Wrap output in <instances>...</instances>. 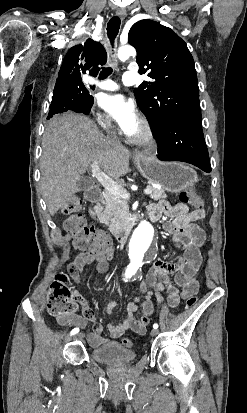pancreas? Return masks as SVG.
<instances>
[{"instance_id": "obj_1", "label": "pancreas", "mask_w": 247, "mask_h": 413, "mask_svg": "<svg viewBox=\"0 0 247 413\" xmlns=\"http://www.w3.org/2000/svg\"><path fill=\"white\" fill-rule=\"evenodd\" d=\"M147 188H152L153 192L150 194L154 200L159 198H166L165 190H159V188H153L148 184ZM104 198L102 202L106 204V207L100 215V221L109 227L110 233H116L120 227H131L130 221H127L128 213V200L122 198L120 194H112L109 190H105L103 194Z\"/></svg>"}]
</instances>
